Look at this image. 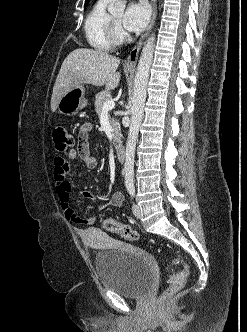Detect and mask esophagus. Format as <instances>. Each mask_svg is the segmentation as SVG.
Listing matches in <instances>:
<instances>
[{"mask_svg": "<svg viewBox=\"0 0 247 332\" xmlns=\"http://www.w3.org/2000/svg\"><path fill=\"white\" fill-rule=\"evenodd\" d=\"M150 4L152 7V16H151V20L150 23L146 29V31L142 34V36L140 37V39L138 40V42L136 43V45L133 47L132 51L130 52L129 56L127 57V59L125 60L124 64L128 67H135L137 60H138V55H139V51L144 43V40L146 39V37L149 35L155 18H156V12H157V5H156V0H150Z\"/></svg>", "mask_w": 247, "mask_h": 332, "instance_id": "1", "label": "esophagus"}]
</instances>
